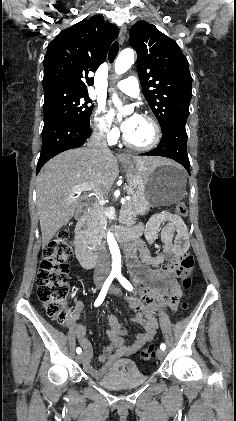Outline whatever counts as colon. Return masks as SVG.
Instances as JSON below:
<instances>
[{
    "instance_id": "1",
    "label": "colon",
    "mask_w": 236,
    "mask_h": 421,
    "mask_svg": "<svg viewBox=\"0 0 236 421\" xmlns=\"http://www.w3.org/2000/svg\"><path fill=\"white\" fill-rule=\"evenodd\" d=\"M176 213L186 216V205L177 204ZM71 260L72 247L69 233L67 230H60L45 247L37 275L38 297L47 315L60 324H67L74 316L73 311L66 304L70 289L67 277ZM194 263V257L189 252H185L180 258L178 274L181 285L185 289L191 287V272ZM186 307L183 305V308ZM153 356L154 352L151 348H146L141 352L143 360H151Z\"/></svg>"
}]
</instances>
